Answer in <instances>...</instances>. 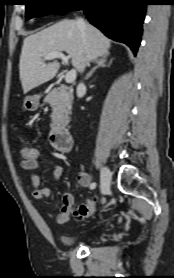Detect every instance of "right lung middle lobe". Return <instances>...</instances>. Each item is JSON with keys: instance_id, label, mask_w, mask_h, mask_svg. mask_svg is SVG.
<instances>
[{"instance_id": "right-lung-middle-lobe-1", "label": "right lung middle lobe", "mask_w": 174, "mask_h": 278, "mask_svg": "<svg viewBox=\"0 0 174 278\" xmlns=\"http://www.w3.org/2000/svg\"><path fill=\"white\" fill-rule=\"evenodd\" d=\"M26 19L49 13L66 14L79 0H25Z\"/></svg>"}]
</instances>
